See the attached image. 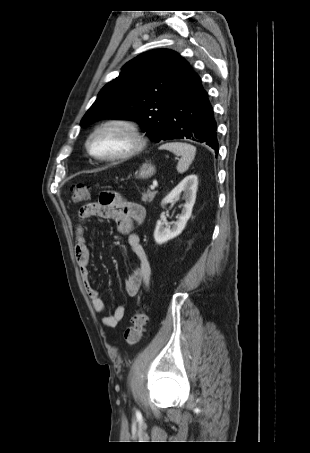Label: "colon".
<instances>
[{
    "instance_id": "1",
    "label": "colon",
    "mask_w": 310,
    "mask_h": 453,
    "mask_svg": "<svg viewBox=\"0 0 310 453\" xmlns=\"http://www.w3.org/2000/svg\"><path fill=\"white\" fill-rule=\"evenodd\" d=\"M89 196L90 187L88 185L78 184L73 187L72 200L74 203L84 202ZM113 198L114 193L103 192L100 194L99 200L102 204L108 205ZM146 323L147 315L145 312L142 309L137 310L131 318V325L124 332V340L127 345L133 346L141 340Z\"/></svg>"
}]
</instances>
